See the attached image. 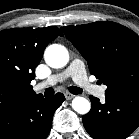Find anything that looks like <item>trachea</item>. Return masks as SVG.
I'll return each instance as SVG.
<instances>
[{
    "label": "trachea",
    "mask_w": 139,
    "mask_h": 139,
    "mask_svg": "<svg viewBox=\"0 0 139 139\" xmlns=\"http://www.w3.org/2000/svg\"><path fill=\"white\" fill-rule=\"evenodd\" d=\"M69 91L72 94H81L82 93V89H80L79 87H76V86H70ZM53 94H54V89L53 88H47L46 89L45 96H51Z\"/></svg>",
    "instance_id": "trachea-1"
}]
</instances>
